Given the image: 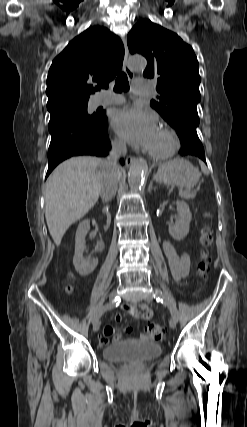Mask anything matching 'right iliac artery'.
Returning a JSON list of instances; mask_svg holds the SVG:
<instances>
[{
  "label": "right iliac artery",
  "mask_w": 247,
  "mask_h": 427,
  "mask_svg": "<svg viewBox=\"0 0 247 427\" xmlns=\"http://www.w3.org/2000/svg\"><path fill=\"white\" fill-rule=\"evenodd\" d=\"M120 300L119 299H115L114 301H112L111 303H107L104 306H102L96 313L94 319H96L97 317H100L105 311L113 308L115 305L117 306L119 304Z\"/></svg>",
  "instance_id": "right-iliac-artery-1"
}]
</instances>
